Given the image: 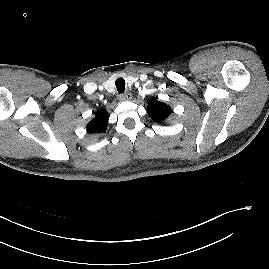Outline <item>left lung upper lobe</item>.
Here are the masks:
<instances>
[{"mask_svg": "<svg viewBox=\"0 0 269 269\" xmlns=\"http://www.w3.org/2000/svg\"><path fill=\"white\" fill-rule=\"evenodd\" d=\"M147 112L154 122L161 123L170 115L171 108L163 102L151 100Z\"/></svg>", "mask_w": 269, "mask_h": 269, "instance_id": "1", "label": "left lung upper lobe"}]
</instances>
